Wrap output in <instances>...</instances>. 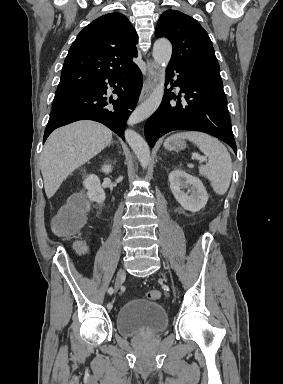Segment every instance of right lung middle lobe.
Instances as JSON below:
<instances>
[{
  "mask_svg": "<svg viewBox=\"0 0 283 384\" xmlns=\"http://www.w3.org/2000/svg\"><path fill=\"white\" fill-rule=\"evenodd\" d=\"M88 89L56 91L52 109L62 107L80 98Z\"/></svg>",
  "mask_w": 283,
  "mask_h": 384,
  "instance_id": "right-lung-middle-lobe-1",
  "label": "right lung middle lobe"
}]
</instances>
